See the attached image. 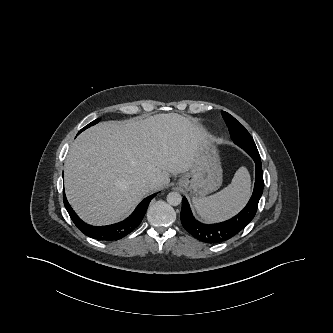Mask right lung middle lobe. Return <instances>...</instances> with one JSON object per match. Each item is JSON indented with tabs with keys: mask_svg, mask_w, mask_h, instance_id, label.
Listing matches in <instances>:
<instances>
[{
	"mask_svg": "<svg viewBox=\"0 0 333 333\" xmlns=\"http://www.w3.org/2000/svg\"><path fill=\"white\" fill-rule=\"evenodd\" d=\"M98 122H99V119L94 120L93 122H91L90 124H88L87 126H85L83 129H81V131L87 129V128L90 127V126L95 125V124L98 123ZM81 131H80V132H81ZM80 132H79V133H80ZM79 133H78V134H79Z\"/></svg>",
	"mask_w": 333,
	"mask_h": 333,
	"instance_id": "1",
	"label": "right lung middle lobe"
}]
</instances>
